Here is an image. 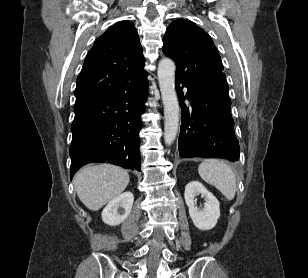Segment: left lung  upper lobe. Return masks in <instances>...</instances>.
Here are the masks:
<instances>
[{
	"label": "left lung upper lobe",
	"instance_id": "obj_1",
	"mask_svg": "<svg viewBox=\"0 0 308 278\" xmlns=\"http://www.w3.org/2000/svg\"><path fill=\"white\" fill-rule=\"evenodd\" d=\"M163 43V53L176 63L177 78L195 82L223 73L224 67L211 37L193 22L173 21Z\"/></svg>",
	"mask_w": 308,
	"mask_h": 278
}]
</instances>
